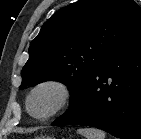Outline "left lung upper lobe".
I'll list each match as a JSON object with an SVG mask.
<instances>
[{"label":"left lung upper lobe","mask_w":141,"mask_h":139,"mask_svg":"<svg viewBox=\"0 0 141 139\" xmlns=\"http://www.w3.org/2000/svg\"><path fill=\"white\" fill-rule=\"evenodd\" d=\"M140 28L141 8L134 0H80L66 6L30 43L20 88L60 81L70 89L71 106L95 68Z\"/></svg>","instance_id":"obj_1"}]
</instances>
